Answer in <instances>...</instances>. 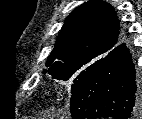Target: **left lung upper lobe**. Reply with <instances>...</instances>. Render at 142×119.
<instances>
[{"label":"left lung upper lobe","instance_id":"1","mask_svg":"<svg viewBox=\"0 0 142 119\" xmlns=\"http://www.w3.org/2000/svg\"><path fill=\"white\" fill-rule=\"evenodd\" d=\"M121 39L113 8L104 1L90 0L66 18L44 73L57 80L72 81L73 93Z\"/></svg>","mask_w":142,"mask_h":119}]
</instances>
